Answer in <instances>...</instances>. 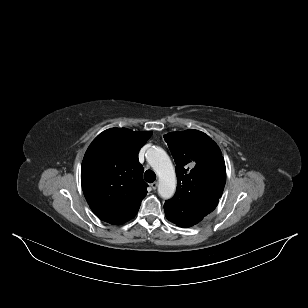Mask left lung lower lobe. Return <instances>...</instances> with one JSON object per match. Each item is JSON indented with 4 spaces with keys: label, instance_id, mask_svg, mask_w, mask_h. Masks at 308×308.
Returning <instances> with one entry per match:
<instances>
[{
    "label": "left lung lower lobe",
    "instance_id": "0a47b994",
    "mask_svg": "<svg viewBox=\"0 0 308 308\" xmlns=\"http://www.w3.org/2000/svg\"><path fill=\"white\" fill-rule=\"evenodd\" d=\"M202 219H198V220H195V221H192V222H189V223H185V224H177L178 226L180 227H191L195 224H197L198 222H200Z\"/></svg>",
    "mask_w": 308,
    "mask_h": 308
}]
</instances>
